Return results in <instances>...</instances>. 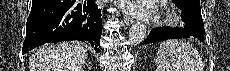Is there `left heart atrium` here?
Instances as JSON below:
<instances>
[{"instance_id":"1","label":"left heart atrium","mask_w":230,"mask_h":71,"mask_svg":"<svg viewBox=\"0 0 230 71\" xmlns=\"http://www.w3.org/2000/svg\"><path fill=\"white\" fill-rule=\"evenodd\" d=\"M121 4L124 5V10L136 16L146 17L154 10L151 0H126L121 1Z\"/></svg>"}]
</instances>
